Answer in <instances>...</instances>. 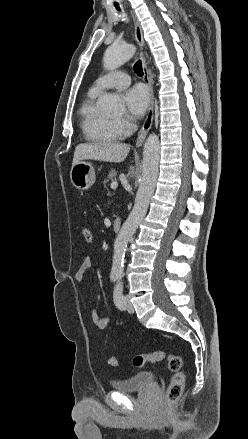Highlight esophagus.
Here are the masks:
<instances>
[{
  "label": "esophagus",
  "mask_w": 248,
  "mask_h": 439,
  "mask_svg": "<svg viewBox=\"0 0 248 439\" xmlns=\"http://www.w3.org/2000/svg\"><path fill=\"white\" fill-rule=\"evenodd\" d=\"M132 18L134 21V28H135V38L139 45V48L141 50L140 57L142 61V68L144 72L143 80L145 84L148 87L149 90V107H148V113L146 116V119L138 133V137L136 140V147H141L142 144L145 141V138L149 132V130L152 127L153 124V115H154V91H153V85H152V77L150 76V71L143 53V47H144V38H143V31L140 26L139 21L137 20L136 16L132 14Z\"/></svg>",
  "instance_id": "1"
}]
</instances>
